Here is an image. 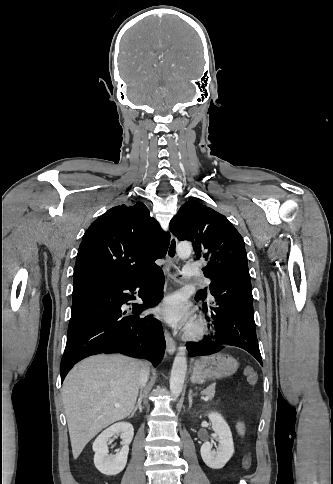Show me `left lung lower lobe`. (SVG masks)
<instances>
[{
	"instance_id": "0a47b994",
	"label": "left lung lower lobe",
	"mask_w": 333,
	"mask_h": 484,
	"mask_svg": "<svg viewBox=\"0 0 333 484\" xmlns=\"http://www.w3.org/2000/svg\"><path fill=\"white\" fill-rule=\"evenodd\" d=\"M213 296L216 307L204 308L208 321L215 325V335L205 336L199 343H188L191 357L209 355L236 346L248 351L262 365L253 313V296L247 262L230 257L212 270Z\"/></svg>"
}]
</instances>
